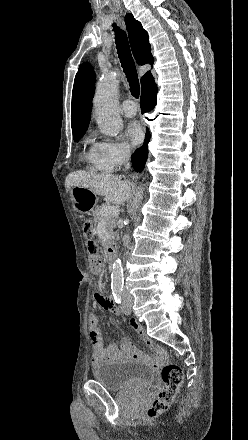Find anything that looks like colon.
<instances>
[{
  "mask_svg": "<svg viewBox=\"0 0 248 440\" xmlns=\"http://www.w3.org/2000/svg\"><path fill=\"white\" fill-rule=\"evenodd\" d=\"M91 227V221L86 220L84 222V231L89 240V265L94 273H99L101 271V261L98 257V249L91 240ZM161 377L163 385L157 398L148 409L149 417H156L168 409L183 383L184 373L180 366L176 364H166L161 370Z\"/></svg>",
  "mask_w": 248,
  "mask_h": 440,
  "instance_id": "obj_1",
  "label": "colon"
}]
</instances>
